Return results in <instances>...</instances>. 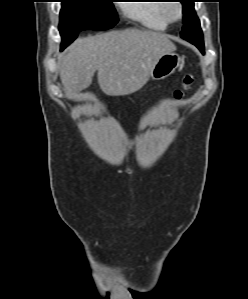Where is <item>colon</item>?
<instances>
[{
  "label": "colon",
  "instance_id": "obj_1",
  "mask_svg": "<svg viewBox=\"0 0 248 299\" xmlns=\"http://www.w3.org/2000/svg\"><path fill=\"white\" fill-rule=\"evenodd\" d=\"M193 83L194 77L192 75H186L183 78L181 87L174 91L175 99L180 100L185 95V92L192 86Z\"/></svg>",
  "mask_w": 248,
  "mask_h": 299
}]
</instances>
